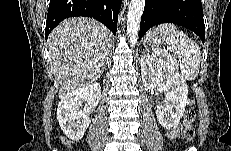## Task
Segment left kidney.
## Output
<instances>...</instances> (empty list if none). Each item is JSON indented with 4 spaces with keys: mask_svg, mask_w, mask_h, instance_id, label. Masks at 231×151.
I'll return each instance as SVG.
<instances>
[{
    "mask_svg": "<svg viewBox=\"0 0 231 151\" xmlns=\"http://www.w3.org/2000/svg\"><path fill=\"white\" fill-rule=\"evenodd\" d=\"M140 65L143 85L152 87L158 84L165 94L164 104L156 110L159 123L166 129H176L188 101L185 79L175 68L154 55H143Z\"/></svg>",
    "mask_w": 231,
    "mask_h": 151,
    "instance_id": "left-kidney-1",
    "label": "left kidney"
}]
</instances>
